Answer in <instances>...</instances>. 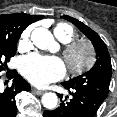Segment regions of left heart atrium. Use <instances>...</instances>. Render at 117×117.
I'll list each match as a JSON object with an SVG mask.
<instances>
[{"label": "left heart atrium", "mask_w": 117, "mask_h": 117, "mask_svg": "<svg viewBox=\"0 0 117 117\" xmlns=\"http://www.w3.org/2000/svg\"><path fill=\"white\" fill-rule=\"evenodd\" d=\"M22 74L34 85L44 87L64 77V63L56 57L31 54L21 60Z\"/></svg>", "instance_id": "1"}]
</instances>
